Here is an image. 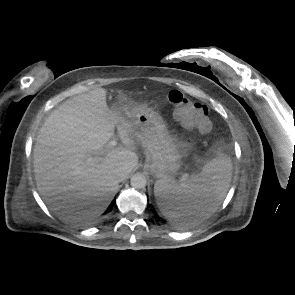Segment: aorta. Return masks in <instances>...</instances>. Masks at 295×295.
Listing matches in <instances>:
<instances>
[{"label":"aorta","mask_w":295,"mask_h":295,"mask_svg":"<svg viewBox=\"0 0 295 295\" xmlns=\"http://www.w3.org/2000/svg\"><path fill=\"white\" fill-rule=\"evenodd\" d=\"M130 182H131V186L133 188L142 189L146 186L147 179H146L145 175H143L142 173H135L131 177Z\"/></svg>","instance_id":"aorta-1"}]
</instances>
